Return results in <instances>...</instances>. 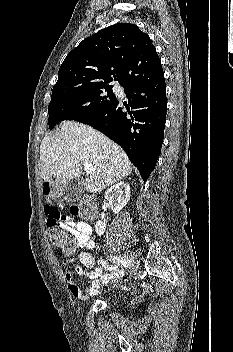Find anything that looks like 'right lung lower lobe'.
Masks as SVG:
<instances>
[{
	"instance_id": "98d812e1",
	"label": "right lung lower lobe",
	"mask_w": 233,
	"mask_h": 352,
	"mask_svg": "<svg viewBox=\"0 0 233 352\" xmlns=\"http://www.w3.org/2000/svg\"><path fill=\"white\" fill-rule=\"evenodd\" d=\"M124 88L128 112H124L122 104L116 100L78 121L92 126L119 144L146 181L155 168L164 138L167 107L164 73Z\"/></svg>"
}]
</instances>
